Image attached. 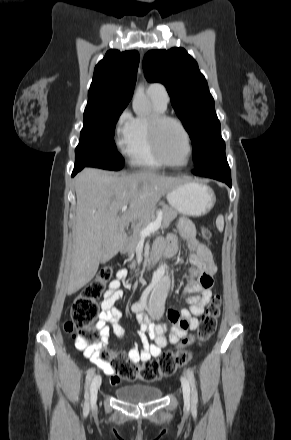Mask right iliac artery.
<instances>
[{
  "label": "right iliac artery",
  "mask_w": 291,
  "mask_h": 440,
  "mask_svg": "<svg viewBox=\"0 0 291 440\" xmlns=\"http://www.w3.org/2000/svg\"><path fill=\"white\" fill-rule=\"evenodd\" d=\"M132 311H134V312L136 311L135 305L132 306ZM94 372H95V370L93 368H91V369L88 370L87 375H86V385H85V389H86L85 390V399L86 400H88V396H89V394H88V386H89L90 381H91V379H92V377L94 375ZM84 412L86 414L89 412V404H88L87 401L85 402V405H84Z\"/></svg>",
  "instance_id": "1"
}]
</instances>
